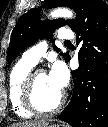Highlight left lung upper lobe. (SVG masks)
Masks as SVG:
<instances>
[{
  "label": "left lung upper lobe",
  "instance_id": "1",
  "mask_svg": "<svg viewBox=\"0 0 108 127\" xmlns=\"http://www.w3.org/2000/svg\"><path fill=\"white\" fill-rule=\"evenodd\" d=\"M84 0H45L44 8H55L58 6H67L75 10L79 17L80 7ZM77 20L57 19L52 21H40L39 11L37 9L29 10L23 14L15 28L12 31L9 50L8 63L10 64L14 58L22 52L26 47L33 44L38 38H50L56 28L68 25L71 29L77 23ZM54 49L59 52V49L54 45ZM60 55L64 56L66 62L69 60L68 53Z\"/></svg>",
  "mask_w": 108,
  "mask_h": 127
}]
</instances>
